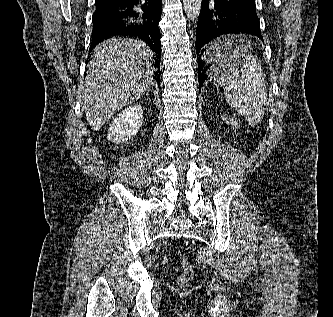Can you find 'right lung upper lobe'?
<instances>
[{"instance_id":"cb5924a9","label":"right lung upper lobe","mask_w":333,"mask_h":317,"mask_svg":"<svg viewBox=\"0 0 333 317\" xmlns=\"http://www.w3.org/2000/svg\"><path fill=\"white\" fill-rule=\"evenodd\" d=\"M96 3H105V2H110V1H114V0H95Z\"/></svg>"}]
</instances>
